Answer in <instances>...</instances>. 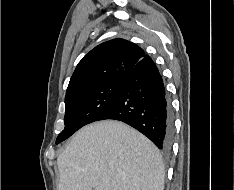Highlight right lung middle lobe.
<instances>
[{
  "instance_id": "dd1d6c3e",
  "label": "right lung middle lobe",
  "mask_w": 234,
  "mask_h": 190,
  "mask_svg": "<svg viewBox=\"0 0 234 190\" xmlns=\"http://www.w3.org/2000/svg\"><path fill=\"white\" fill-rule=\"evenodd\" d=\"M122 79L76 92L65 98L64 130L56 144L66 140L81 127L97 121L116 101Z\"/></svg>"
}]
</instances>
